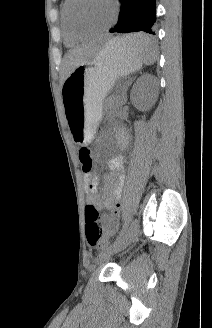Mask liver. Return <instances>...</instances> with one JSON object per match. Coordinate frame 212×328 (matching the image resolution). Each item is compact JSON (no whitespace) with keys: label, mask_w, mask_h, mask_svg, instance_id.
Returning a JSON list of instances; mask_svg holds the SVG:
<instances>
[{"label":"liver","mask_w":212,"mask_h":328,"mask_svg":"<svg viewBox=\"0 0 212 328\" xmlns=\"http://www.w3.org/2000/svg\"><path fill=\"white\" fill-rule=\"evenodd\" d=\"M100 48L83 46L70 49L64 57V80L80 64H87L98 54Z\"/></svg>","instance_id":"liver-1"}]
</instances>
